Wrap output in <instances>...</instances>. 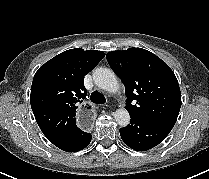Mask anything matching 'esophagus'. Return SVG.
Masks as SVG:
<instances>
[{
  "instance_id": "1",
  "label": "esophagus",
  "mask_w": 209,
  "mask_h": 179,
  "mask_svg": "<svg viewBox=\"0 0 209 179\" xmlns=\"http://www.w3.org/2000/svg\"><path fill=\"white\" fill-rule=\"evenodd\" d=\"M79 127L83 131H90L94 127L95 112L91 105H81L77 109Z\"/></svg>"
}]
</instances>
